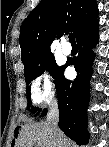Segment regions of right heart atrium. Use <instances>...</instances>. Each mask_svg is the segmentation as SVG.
I'll use <instances>...</instances> for the list:
<instances>
[{
	"mask_svg": "<svg viewBox=\"0 0 109 147\" xmlns=\"http://www.w3.org/2000/svg\"><path fill=\"white\" fill-rule=\"evenodd\" d=\"M31 97L36 104H48L53 100L54 87L48 71H44L32 82Z\"/></svg>",
	"mask_w": 109,
	"mask_h": 147,
	"instance_id": "obj_1",
	"label": "right heart atrium"
}]
</instances>
